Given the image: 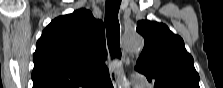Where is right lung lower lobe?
I'll use <instances>...</instances> for the list:
<instances>
[{
	"label": "right lung lower lobe",
	"instance_id": "obj_1",
	"mask_svg": "<svg viewBox=\"0 0 223 88\" xmlns=\"http://www.w3.org/2000/svg\"><path fill=\"white\" fill-rule=\"evenodd\" d=\"M98 88H113L112 83H111V80H110V77L105 82H103L102 84H100L98 86Z\"/></svg>",
	"mask_w": 223,
	"mask_h": 88
}]
</instances>
